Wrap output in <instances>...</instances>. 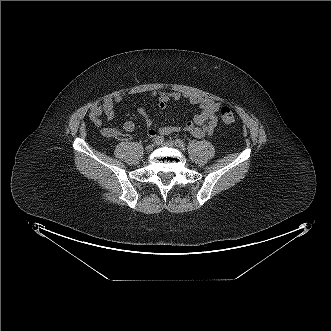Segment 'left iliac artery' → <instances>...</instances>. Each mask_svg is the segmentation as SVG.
<instances>
[{
  "instance_id": "left-iliac-artery-1",
  "label": "left iliac artery",
  "mask_w": 331,
  "mask_h": 331,
  "mask_svg": "<svg viewBox=\"0 0 331 331\" xmlns=\"http://www.w3.org/2000/svg\"><path fill=\"white\" fill-rule=\"evenodd\" d=\"M175 143H176V145L178 147H182L183 148L185 146L184 142L181 139H176L175 140Z\"/></svg>"
}]
</instances>
